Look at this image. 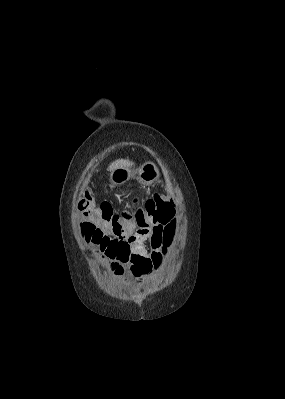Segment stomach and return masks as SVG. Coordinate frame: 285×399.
<instances>
[{
	"instance_id": "obj_1",
	"label": "stomach",
	"mask_w": 285,
	"mask_h": 399,
	"mask_svg": "<svg viewBox=\"0 0 285 399\" xmlns=\"http://www.w3.org/2000/svg\"><path fill=\"white\" fill-rule=\"evenodd\" d=\"M134 174L138 175V180L143 185H151L156 182L160 177L157 166L153 162L148 161L136 171H132L128 167H120L114 169L110 173V182L113 185H122L126 181H128L130 177H132Z\"/></svg>"
}]
</instances>
